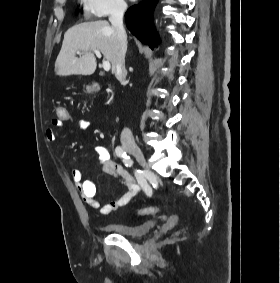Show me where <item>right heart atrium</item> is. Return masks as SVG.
I'll list each match as a JSON object with an SVG mask.
<instances>
[{"mask_svg": "<svg viewBox=\"0 0 280 283\" xmlns=\"http://www.w3.org/2000/svg\"><path fill=\"white\" fill-rule=\"evenodd\" d=\"M82 5L85 14L94 18L120 15L127 9L125 0H82Z\"/></svg>", "mask_w": 280, "mask_h": 283, "instance_id": "obj_1", "label": "right heart atrium"}]
</instances>
